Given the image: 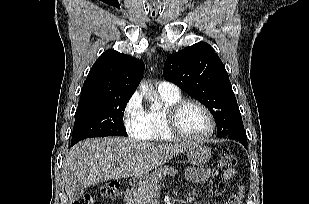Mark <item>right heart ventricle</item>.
<instances>
[{"label":"right heart ventricle","mask_w":309,"mask_h":204,"mask_svg":"<svg viewBox=\"0 0 309 204\" xmlns=\"http://www.w3.org/2000/svg\"><path fill=\"white\" fill-rule=\"evenodd\" d=\"M159 95L163 102V107L160 109H150L145 112V122L148 132L144 139L168 142L174 138L166 127L165 112L170 105L181 99V95L180 93L176 95L159 93Z\"/></svg>","instance_id":"right-heart-ventricle-1"}]
</instances>
